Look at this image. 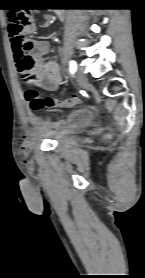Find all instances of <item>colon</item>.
<instances>
[{
	"label": "colon",
	"instance_id": "5ec220e1",
	"mask_svg": "<svg viewBox=\"0 0 145 278\" xmlns=\"http://www.w3.org/2000/svg\"><path fill=\"white\" fill-rule=\"evenodd\" d=\"M31 24L30 13L23 8H15L11 10L8 15V33L9 36L13 39V42L17 46H21L27 50V53L31 55L33 46L26 39L25 33L27 27ZM38 75L36 71L26 75L24 81L27 84H32L36 82ZM26 101L32 111H41L48 107L60 106V107H69L78 103L81 98L77 95L67 97V98H56L52 96L42 97L39 92L33 88L29 87L25 91ZM21 151L24 155L30 154L29 144L25 139L20 141Z\"/></svg>",
	"mask_w": 145,
	"mask_h": 278
}]
</instances>
